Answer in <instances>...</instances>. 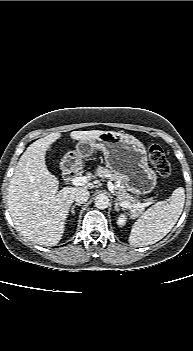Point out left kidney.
Returning a JSON list of instances; mask_svg holds the SVG:
<instances>
[{"label": "left kidney", "mask_w": 193, "mask_h": 351, "mask_svg": "<svg viewBox=\"0 0 193 351\" xmlns=\"http://www.w3.org/2000/svg\"><path fill=\"white\" fill-rule=\"evenodd\" d=\"M127 218L124 214L119 215L118 219H117V224L122 227L126 224Z\"/></svg>", "instance_id": "1"}]
</instances>
